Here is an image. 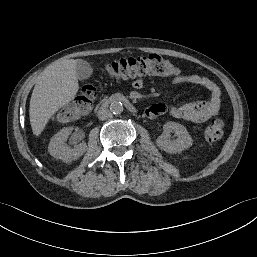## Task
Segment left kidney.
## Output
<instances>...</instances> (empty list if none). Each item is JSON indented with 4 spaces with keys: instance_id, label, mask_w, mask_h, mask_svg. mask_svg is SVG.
I'll return each instance as SVG.
<instances>
[{
    "instance_id": "1",
    "label": "left kidney",
    "mask_w": 257,
    "mask_h": 257,
    "mask_svg": "<svg viewBox=\"0 0 257 257\" xmlns=\"http://www.w3.org/2000/svg\"><path fill=\"white\" fill-rule=\"evenodd\" d=\"M175 132L177 139L170 140V133ZM193 140L187 129L175 122H167L163 126V133L157 139V145L160 149L168 153H179L184 149L191 147Z\"/></svg>"
}]
</instances>
